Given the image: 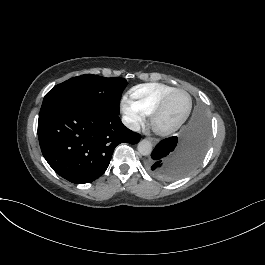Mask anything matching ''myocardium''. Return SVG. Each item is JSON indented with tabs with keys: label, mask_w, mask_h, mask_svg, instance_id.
I'll use <instances>...</instances> for the list:
<instances>
[{
	"label": "myocardium",
	"mask_w": 265,
	"mask_h": 265,
	"mask_svg": "<svg viewBox=\"0 0 265 265\" xmlns=\"http://www.w3.org/2000/svg\"><path fill=\"white\" fill-rule=\"evenodd\" d=\"M185 90L176 88L167 95H165L157 104L152 117V126L154 130L160 135H168L177 129H179L189 118L192 109V102L188 100L187 108L183 116L172 124H163L161 122V116L168 100L177 93H184Z\"/></svg>",
	"instance_id": "obj_1"
}]
</instances>
